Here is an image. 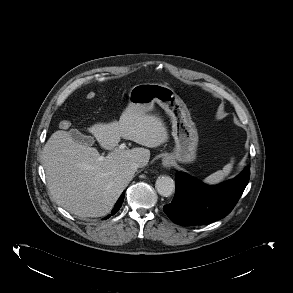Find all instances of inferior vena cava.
<instances>
[{"mask_svg": "<svg viewBox=\"0 0 293 293\" xmlns=\"http://www.w3.org/2000/svg\"><path fill=\"white\" fill-rule=\"evenodd\" d=\"M145 165H146L145 162L140 160V161L131 163V169L136 170V169L141 168Z\"/></svg>", "mask_w": 293, "mask_h": 293, "instance_id": "1", "label": "inferior vena cava"}]
</instances>
